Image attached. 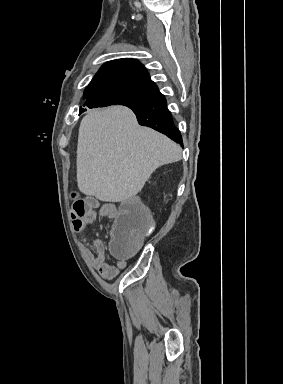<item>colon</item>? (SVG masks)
I'll return each instance as SVG.
<instances>
[{
    "label": "colon",
    "instance_id": "obj_1",
    "mask_svg": "<svg viewBox=\"0 0 283 384\" xmlns=\"http://www.w3.org/2000/svg\"><path fill=\"white\" fill-rule=\"evenodd\" d=\"M96 206L91 198L72 194L71 217L79 224L87 212ZM153 229V221L147 208L138 199L124 202L111 225L110 251L119 259L131 257L140 247L142 237Z\"/></svg>",
    "mask_w": 283,
    "mask_h": 384
}]
</instances>
